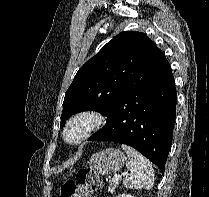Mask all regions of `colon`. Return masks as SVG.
<instances>
[{"label": "colon", "mask_w": 209, "mask_h": 197, "mask_svg": "<svg viewBox=\"0 0 209 197\" xmlns=\"http://www.w3.org/2000/svg\"><path fill=\"white\" fill-rule=\"evenodd\" d=\"M101 178L89 170H80L75 182H66L61 186V197H86L101 187Z\"/></svg>", "instance_id": "5ec220e1"}]
</instances>
